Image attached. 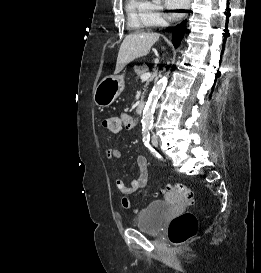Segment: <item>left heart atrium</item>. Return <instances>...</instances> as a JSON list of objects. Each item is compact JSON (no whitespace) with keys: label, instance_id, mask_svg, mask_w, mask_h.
Returning a JSON list of instances; mask_svg holds the SVG:
<instances>
[{"label":"left heart atrium","instance_id":"39dd6f15","mask_svg":"<svg viewBox=\"0 0 261 273\" xmlns=\"http://www.w3.org/2000/svg\"><path fill=\"white\" fill-rule=\"evenodd\" d=\"M167 8L174 10L173 16L178 17L183 9H185L189 0H165Z\"/></svg>","mask_w":261,"mask_h":273}]
</instances>
